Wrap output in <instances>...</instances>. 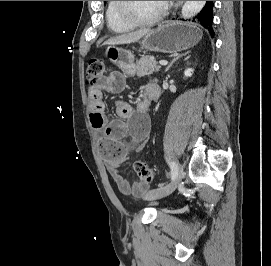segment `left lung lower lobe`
I'll return each mask as SVG.
<instances>
[{
  "label": "left lung lower lobe",
  "instance_id": "obj_1",
  "mask_svg": "<svg viewBox=\"0 0 271 266\" xmlns=\"http://www.w3.org/2000/svg\"><path fill=\"white\" fill-rule=\"evenodd\" d=\"M212 9L213 1H207L203 9L196 16V19L197 22L200 23L204 28H206L209 31V33L213 36L214 31L212 28L213 23Z\"/></svg>",
  "mask_w": 271,
  "mask_h": 266
}]
</instances>
